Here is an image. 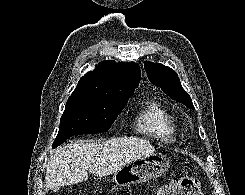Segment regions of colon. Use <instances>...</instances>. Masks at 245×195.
Masks as SVG:
<instances>
[{
  "label": "colon",
  "mask_w": 245,
  "mask_h": 195,
  "mask_svg": "<svg viewBox=\"0 0 245 195\" xmlns=\"http://www.w3.org/2000/svg\"><path fill=\"white\" fill-rule=\"evenodd\" d=\"M200 182L194 177H182L163 186L157 195H200Z\"/></svg>",
  "instance_id": "5ec220e1"
}]
</instances>
